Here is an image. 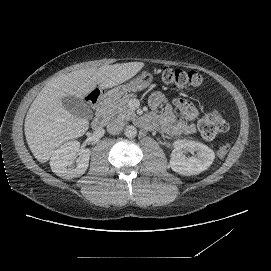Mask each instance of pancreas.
<instances>
[{"instance_id":"1","label":"pancreas","mask_w":271,"mask_h":271,"mask_svg":"<svg viewBox=\"0 0 271 271\" xmlns=\"http://www.w3.org/2000/svg\"><path fill=\"white\" fill-rule=\"evenodd\" d=\"M133 94H128L121 99L111 98L106 107L112 111L113 115H117L119 119H130L135 116V112L129 108V101L134 98Z\"/></svg>"}]
</instances>
